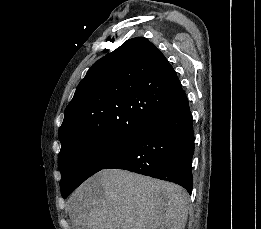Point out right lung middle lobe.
<instances>
[{
    "instance_id": "obj_1",
    "label": "right lung middle lobe",
    "mask_w": 261,
    "mask_h": 229,
    "mask_svg": "<svg viewBox=\"0 0 261 229\" xmlns=\"http://www.w3.org/2000/svg\"><path fill=\"white\" fill-rule=\"evenodd\" d=\"M132 140L80 138L63 146L58 156L60 188L66 198L87 178L102 170L126 150Z\"/></svg>"
}]
</instances>
